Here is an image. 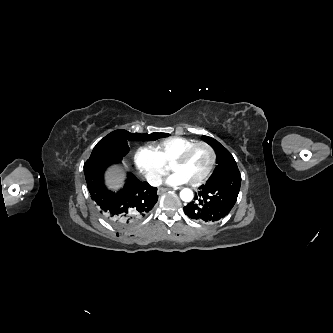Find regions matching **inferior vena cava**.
<instances>
[{
	"instance_id": "inferior-vena-cava-1",
	"label": "inferior vena cava",
	"mask_w": 333,
	"mask_h": 333,
	"mask_svg": "<svg viewBox=\"0 0 333 333\" xmlns=\"http://www.w3.org/2000/svg\"><path fill=\"white\" fill-rule=\"evenodd\" d=\"M147 181L151 186L158 187L162 184V177L157 173L148 174Z\"/></svg>"
}]
</instances>
